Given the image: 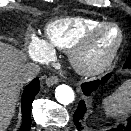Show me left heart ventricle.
<instances>
[{"label":"left heart ventricle","mask_w":131,"mask_h":131,"mask_svg":"<svg viewBox=\"0 0 131 131\" xmlns=\"http://www.w3.org/2000/svg\"><path fill=\"white\" fill-rule=\"evenodd\" d=\"M119 39L116 28L110 27L102 31L87 50L84 59L88 62H99L103 60L115 47Z\"/></svg>","instance_id":"left-heart-ventricle-1"}]
</instances>
